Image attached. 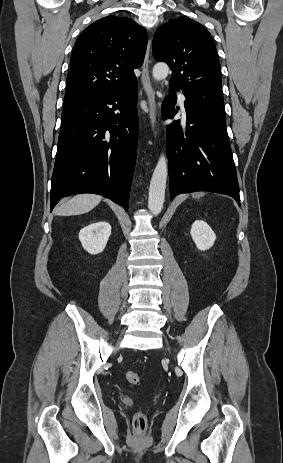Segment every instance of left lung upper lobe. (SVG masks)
Returning a JSON list of instances; mask_svg holds the SVG:
<instances>
[{
    "label": "left lung upper lobe",
    "instance_id": "5c2ea615",
    "mask_svg": "<svg viewBox=\"0 0 283 463\" xmlns=\"http://www.w3.org/2000/svg\"><path fill=\"white\" fill-rule=\"evenodd\" d=\"M153 56L170 66V86L181 89L189 103L226 120L220 62L204 26L188 17L169 20L154 34Z\"/></svg>",
    "mask_w": 283,
    "mask_h": 463
}]
</instances>
